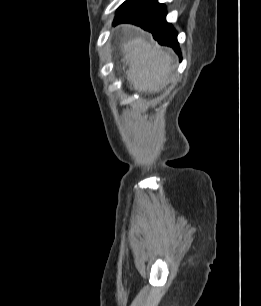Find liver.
Here are the masks:
<instances>
[{"label": "liver", "mask_w": 261, "mask_h": 306, "mask_svg": "<svg viewBox=\"0 0 261 306\" xmlns=\"http://www.w3.org/2000/svg\"><path fill=\"white\" fill-rule=\"evenodd\" d=\"M122 49V61L129 67L127 80L134 90L155 93L166 87L172 73V59L167 51L141 36L124 43Z\"/></svg>", "instance_id": "liver-1"}]
</instances>
